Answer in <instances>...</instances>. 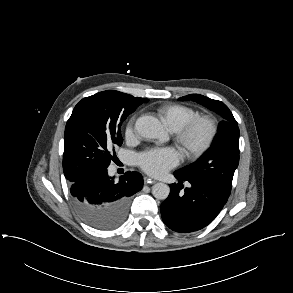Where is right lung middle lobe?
Masks as SVG:
<instances>
[{"label": "right lung middle lobe", "instance_id": "1", "mask_svg": "<svg viewBox=\"0 0 293 293\" xmlns=\"http://www.w3.org/2000/svg\"><path fill=\"white\" fill-rule=\"evenodd\" d=\"M138 106L129 98L106 92L86 97L75 106L64 135L63 171L69 182L91 169L109 166L114 160L112 146L123 142L121 125ZM79 215L99 229H113L123 221L118 214Z\"/></svg>", "mask_w": 293, "mask_h": 293}]
</instances>
